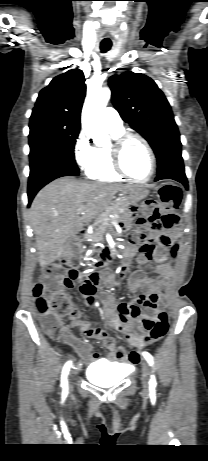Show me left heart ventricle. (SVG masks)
<instances>
[{"instance_id":"1","label":"left heart ventricle","mask_w":208,"mask_h":461,"mask_svg":"<svg viewBox=\"0 0 208 461\" xmlns=\"http://www.w3.org/2000/svg\"><path fill=\"white\" fill-rule=\"evenodd\" d=\"M126 171L137 179H144L150 172V157L145 146L138 140H130L123 153Z\"/></svg>"}]
</instances>
